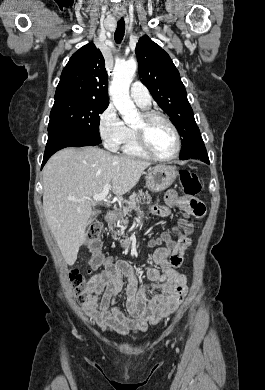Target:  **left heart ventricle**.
<instances>
[{
	"instance_id": "b2bd125f",
	"label": "left heart ventricle",
	"mask_w": 265,
	"mask_h": 390,
	"mask_svg": "<svg viewBox=\"0 0 265 390\" xmlns=\"http://www.w3.org/2000/svg\"><path fill=\"white\" fill-rule=\"evenodd\" d=\"M142 124V117L134 127ZM147 140L152 150L162 157L170 156L175 149V137L170 127L161 120L151 122L147 128Z\"/></svg>"
}]
</instances>
